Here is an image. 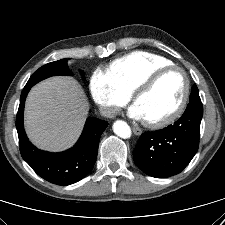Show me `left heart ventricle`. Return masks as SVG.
Wrapping results in <instances>:
<instances>
[{"mask_svg":"<svg viewBox=\"0 0 225 225\" xmlns=\"http://www.w3.org/2000/svg\"><path fill=\"white\" fill-rule=\"evenodd\" d=\"M183 89L182 74L173 70L164 74L148 92L140 96L135 105L141 111L144 120H158L177 107Z\"/></svg>","mask_w":225,"mask_h":225,"instance_id":"b2bd125f","label":"left heart ventricle"}]
</instances>
